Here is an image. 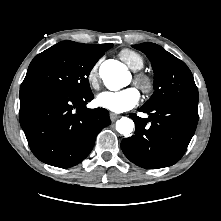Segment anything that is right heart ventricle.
Wrapping results in <instances>:
<instances>
[{
    "mask_svg": "<svg viewBox=\"0 0 221 221\" xmlns=\"http://www.w3.org/2000/svg\"><path fill=\"white\" fill-rule=\"evenodd\" d=\"M118 56L134 71L142 69L145 65L143 56L135 50L124 48L119 51Z\"/></svg>",
    "mask_w": 221,
    "mask_h": 221,
    "instance_id": "right-heart-ventricle-1",
    "label": "right heart ventricle"
}]
</instances>
